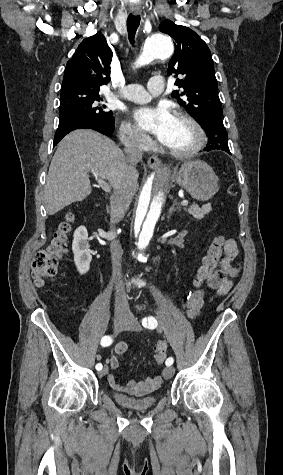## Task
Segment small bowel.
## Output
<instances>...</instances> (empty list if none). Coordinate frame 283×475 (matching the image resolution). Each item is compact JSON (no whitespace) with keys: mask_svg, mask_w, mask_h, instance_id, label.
Wrapping results in <instances>:
<instances>
[{"mask_svg":"<svg viewBox=\"0 0 283 475\" xmlns=\"http://www.w3.org/2000/svg\"><path fill=\"white\" fill-rule=\"evenodd\" d=\"M227 242V251H225L224 256L222 257V269L218 271L217 274L213 275L212 283H205L209 288L214 289L220 295L227 294L232 288V278L237 277L240 272L239 266L235 264V260L238 256L239 249L236 241L232 238L226 239ZM209 301L208 294L206 290L192 292L186 299L187 306V317L190 320H195L206 307V304ZM127 346L123 343H120L115 348V355H112L109 359V366L112 370L119 368V359L118 356L125 353ZM109 385L114 389H119L120 385L118 384L116 377L113 374L107 376ZM161 382L160 376L149 377L145 383L151 386H157ZM135 388V382H132L130 385V390Z\"/></svg>","mask_w":283,"mask_h":475,"instance_id":"small-bowel-1","label":"small bowel"}]
</instances>
